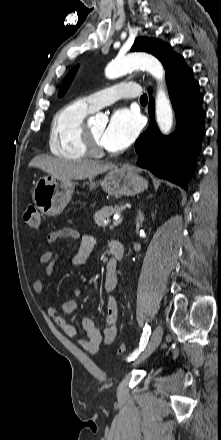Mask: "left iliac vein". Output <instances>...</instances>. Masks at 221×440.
<instances>
[{"label": "left iliac vein", "mask_w": 221, "mask_h": 440, "mask_svg": "<svg viewBox=\"0 0 221 440\" xmlns=\"http://www.w3.org/2000/svg\"><path fill=\"white\" fill-rule=\"evenodd\" d=\"M163 336V328L162 325H158L150 338L149 344L145 351L141 354V356L135 361V364L140 363L141 361L145 360L159 345L161 339Z\"/></svg>", "instance_id": "left-iliac-vein-1"}]
</instances>
